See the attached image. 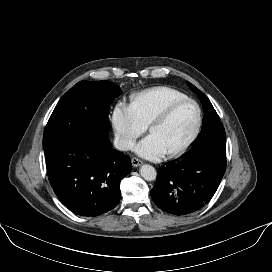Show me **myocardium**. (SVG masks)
<instances>
[{
    "label": "myocardium",
    "mask_w": 272,
    "mask_h": 272,
    "mask_svg": "<svg viewBox=\"0 0 272 272\" xmlns=\"http://www.w3.org/2000/svg\"><path fill=\"white\" fill-rule=\"evenodd\" d=\"M184 104H192L196 108V113H197L196 124H195V127H194L193 132L191 133L190 137L186 140V142L183 145H181L179 148H177L173 151L166 153V156H168L170 158L177 157V156L185 153L192 146V144L195 142V140L197 139V137L200 133L201 127H202V122H203L202 109H201L200 105L198 104L197 101H195L194 99H191V98H184V99L176 100V101L170 103L168 106H166L148 124V131L150 132V130L154 126L165 122L174 113V111L177 108H179L180 106H182Z\"/></svg>",
    "instance_id": "obj_1"
}]
</instances>
